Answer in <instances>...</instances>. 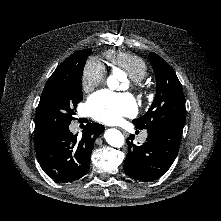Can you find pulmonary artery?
Segmentation results:
<instances>
[{
  "instance_id": "obj_1",
  "label": "pulmonary artery",
  "mask_w": 221,
  "mask_h": 221,
  "mask_svg": "<svg viewBox=\"0 0 221 221\" xmlns=\"http://www.w3.org/2000/svg\"><path fill=\"white\" fill-rule=\"evenodd\" d=\"M147 135L146 133H144L142 136H141V140L144 141L146 139Z\"/></svg>"
}]
</instances>
